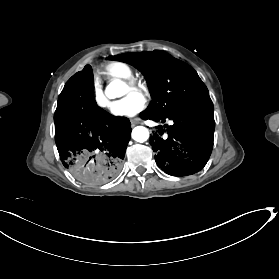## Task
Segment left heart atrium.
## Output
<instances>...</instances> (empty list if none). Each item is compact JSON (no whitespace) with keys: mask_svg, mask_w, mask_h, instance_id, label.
I'll use <instances>...</instances> for the list:
<instances>
[{"mask_svg":"<svg viewBox=\"0 0 279 279\" xmlns=\"http://www.w3.org/2000/svg\"><path fill=\"white\" fill-rule=\"evenodd\" d=\"M145 99L139 94H130L114 103L111 112L117 117H133L145 108Z\"/></svg>","mask_w":279,"mask_h":279,"instance_id":"obj_1","label":"left heart atrium"}]
</instances>
